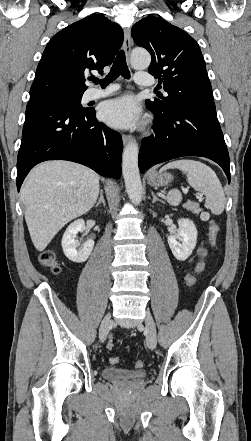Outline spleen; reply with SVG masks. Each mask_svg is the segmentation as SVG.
Wrapping results in <instances>:
<instances>
[{
  "instance_id": "spleen-1",
  "label": "spleen",
  "mask_w": 251,
  "mask_h": 441,
  "mask_svg": "<svg viewBox=\"0 0 251 441\" xmlns=\"http://www.w3.org/2000/svg\"><path fill=\"white\" fill-rule=\"evenodd\" d=\"M174 168L186 174L190 186L206 196V207L213 214L220 215L223 212L226 203L225 194L216 173L209 166L192 159H179L167 163L161 171ZM181 201L182 195L179 190L169 191L167 202L170 205L178 206Z\"/></svg>"
}]
</instances>
